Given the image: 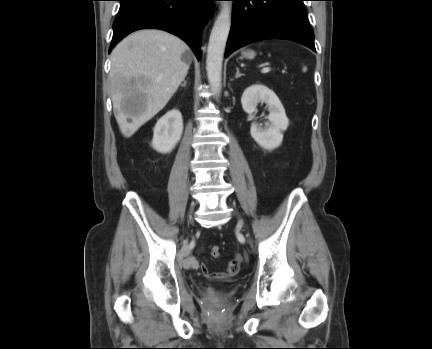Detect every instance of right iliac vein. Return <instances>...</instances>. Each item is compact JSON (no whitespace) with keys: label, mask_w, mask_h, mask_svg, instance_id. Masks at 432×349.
Here are the masks:
<instances>
[{"label":"right iliac vein","mask_w":432,"mask_h":349,"mask_svg":"<svg viewBox=\"0 0 432 349\" xmlns=\"http://www.w3.org/2000/svg\"><path fill=\"white\" fill-rule=\"evenodd\" d=\"M194 207V203L191 205V208H193Z\"/></svg>","instance_id":"obj_1"}]
</instances>
